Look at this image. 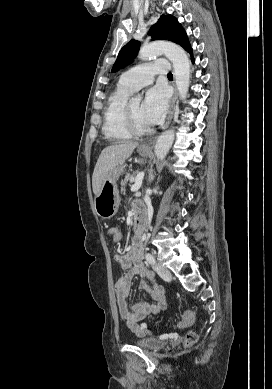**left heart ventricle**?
Instances as JSON below:
<instances>
[{"label": "left heart ventricle", "instance_id": "left-heart-ventricle-1", "mask_svg": "<svg viewBox=\"0 0 272 389\" xmlns=\"http://www.w3.org/2000/svg\"><path fill=\"white\" fill-rule=\"evenodd\" d=\"M131 109L137 124L140 127H149L142 114V103L140 101L131 102Z\"/></svg>", "mask_w": 272, "mask_h": 389}]
</instances>
